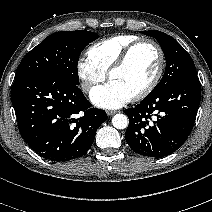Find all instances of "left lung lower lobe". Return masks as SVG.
Returning <instances> with one entry per match:
<instances>
[{
  "label": "left lung lower lobe",
  "mask_w": 212,
  "mask_h": 212,
  "mask_svg": "<svg viewBox=\"0 0 212 212\" xmlns=\"http://www.w3.org/2000/svg\"><path fill=\"white\" fill-rule=\"evenodd\" d=\"M201 99L197 75L178 80L160 91H152L134 108L125 139L138 154L162 158L179 149L190 135Z\"/></svg>",
  "instance_id": "0a47b994"
}]
</instances>
